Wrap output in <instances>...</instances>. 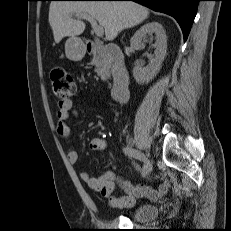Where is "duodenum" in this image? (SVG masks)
<instances>
[{"label": "duodenum", "instance_id": "obj_1", "mask_svg": "<svg viewBox=\"0 0 231 231\" xmlns=\"http://www.w3.org/2000/svg\"><path fill=\"white\" fill-rule=\"evenodd\" d=\"M87 52L102 55L114 64L112 96L116 102H125L128 98L130 77L121 49L114 43L101 44L97 41L86 43Z\"/></svg>", "mask_w": 231, "mask_h": 231}]
</instances>
